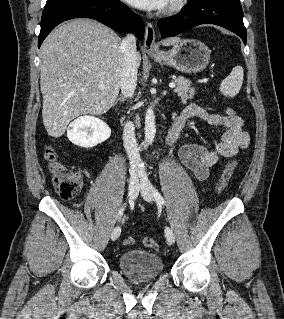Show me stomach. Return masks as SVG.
Segmentation results:
<instances>
[{
  "label": "stomach",
  "mask_w": 284,
  "mask_h": 319,
  "mask_svg": "<svg viewBox=\"0 0 284 319\" xmlns=\"http://www.w3.org/2000/svg\"><path fill=\"white\" fill-rule=\"evenodd\" d=\"M210 49L196 39H180L169 51L150 56L160 65H167L184 73H197L210 61Z\"/></svg>",
  "instance_id": "0dacf381"
}]
</instances>
